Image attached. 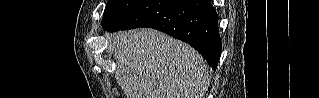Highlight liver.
<instances>
[{
    "instance_id": "6515ba94",
    "label": "liver",
    "mask_w": 319,
    "mask_h": 98,
    "mask_svg": "<svg viewBox=\"0 0 319 98\" xmlns=\"http://www.w3.org/2000/svg\"><path fill=\"white\" fill-rule=\"evenodd\" d=\"M127 98H204L211 74L188 44L152 29L108 35Z\"/></svg>"
}]
</instances>
